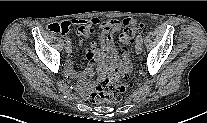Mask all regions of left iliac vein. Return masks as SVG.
Listing matches in <instances>:
<instances>
[{
	"label": "left iliac vein",
	"instance_id": "obj_1",
	"mask_svg": "<svg viewBox=\"0 0 207 123\" xmlns=\"http://www.w3.org/2000/svg\"><path fill=\"white\" fill-rule=\"evenodd\" d=\"M135 50L138 54H140L142 52V42L141 41H136Z\"/></svg>",
	"mask_w": 207,
	"mask_h": 123
}]
</instances>
